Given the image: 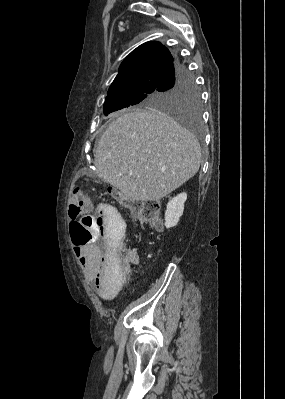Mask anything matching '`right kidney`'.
Listing matches in <instances>:
<instances>
[{
    "instance_id": "ca27d5eb",
    "label": "right kidney",
    "mask_w": 285,
    "mask_h": 399,
    "mask_svg": "<svg viewBox=\"0 0 285 399\" xmlns=\"http://www.w3.org/2000/svg\"><path fill=\"white\" fill-rule=\"evenodd\" d=\"M187 199L186 193H180L176 197L172 198L165 211V226L171 228L177 225L179 218L182 216L184 211V203Z\"/></svg>"
}]
</instances>
